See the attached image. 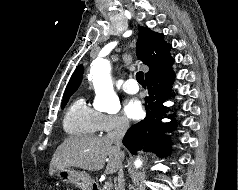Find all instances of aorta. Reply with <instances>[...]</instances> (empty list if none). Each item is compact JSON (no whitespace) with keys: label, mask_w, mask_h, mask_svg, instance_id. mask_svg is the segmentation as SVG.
Instances as JSON below:
<instances>
[{"label":"aorta","mask_w":238,"mask_h":190,"mask_svg":"<svg viewBox=\"0 0 238 190\" xmlns=\"http://www.w3.org/2000/svg\"><path fill=\"white\" fill-rule=\"evenodd\" d=\"M110 63L106 59H97L92 63L91 76L96 92V107L110 114L118 113L120 102L114 92L110 76ZM140 162L138 161V165Z\"/></svg>","instance_id":"aorta-1"}]
</instances>
